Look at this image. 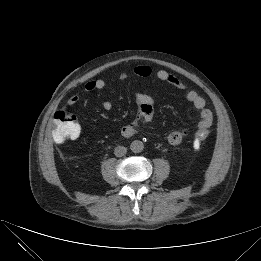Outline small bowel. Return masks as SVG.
I'll use <instances>...</instances> for the list:
<instances>
[{
  "instance_id": "1",
  "label": "small bowel",
  "mask_w": 261,
  "mask_h": 261,
  "mask_svg": "<svg viewBox=\"0 0 261 261\" xmlns=\"http://www.w3.org/2000/svg\"><path fill=\"white\" fill-rule=\"evenodd\" d=\"M133 73L140 77H149L152 75V70L149 66L140 65L134 68ZM128 77L127 73H121L119 78L121 80H126ZM156 78L158 81L163 83H168L177 89L183 90L186 88L183 81L179 78L171 74L166 70H159L156 73ZM106 86V82L104 79H92L85 83L84 88L86 91H94V90H102ZM134 98L138 103V113L137 117L139 120L143 122H150L153 119L154 115V104L155 100L148 94L136 91L134 93ZM186 99L189 103H191L194 108H196L200 112V120L197 124V128L205 129L210 128L213 120L212 112L206 108V101L205 99L195 90H188L186 92ZM79 97L77 95L71 96L67 104L68 106H74L78 103ZM103 109L109 111L112 109V103L110 101H105L102 104ZM137 131V124L136 122L129 123L125 125L121 129V134L125 138L132 137ZM189 134L188 129L183 130H174L167 135V141L171 145H178L180 144Z\"/></svg>"
}]
</instances>
